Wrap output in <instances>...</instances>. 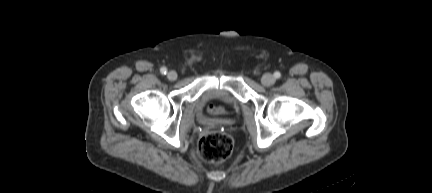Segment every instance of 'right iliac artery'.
<instances>
[{"mask_svg":"<svg viewBox=\"0 0 432 193\" xmlns=\"http://www.w3.org/2000/svg\"><path fill=\"white\" fill-rule=\"evenodd\" d=\"M160 72L165 75L167 73V69L165 67H162L160 69Z\"/></svg>","mask_w":432,"mask_h":193,"instance_id":"1","label":"right iliac artery"}]
</instances>
